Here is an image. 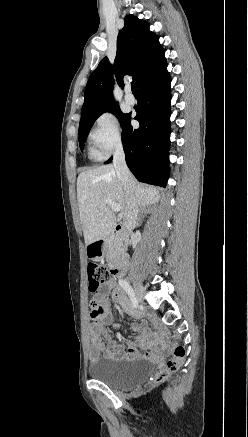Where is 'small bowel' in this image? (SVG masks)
<instances>
[{"label": "small bowel", "mask_w": 248, "mask_h": 437, "mask_svg": "<svg viewBox=\"0 0 248 437\" xmlns=\"http://www.w3.org/2000/svg\"><path fill=\"white\" fill-rule=\"evenodd\" d=\"M108 294H112L113 300L126 312L136 317H141L140 313L133 310L132 305L127 298L124 291L110 280L105 285H99V292L96 294L93 301H96L102 307L95 308L90 305L87 311L92 315L93 326L90 333L91 341V360L95 361L102 353L106 357L116 360H129L139 356V349L146 350V353L142 356L147 357L156 352V341L152 334L148 333L144 325H132V329L139 333L135 343L126 342L125 344H119L110 339L109 333L106 329V323H108L109 317L107 315L108 310ZM102 338L108 340L106 345Z\"/></svg>", "instance_id": "1"}]
</instances>
